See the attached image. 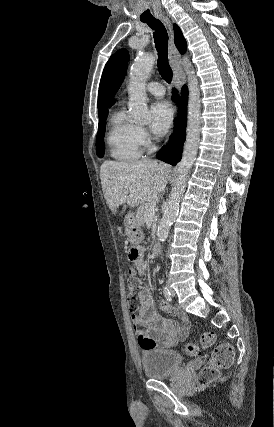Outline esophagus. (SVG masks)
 <instances>
[{
	"mask_svg": "<svg viewBox=\"0 0 274 427\" xmlns=\"http://www.w3.org/2000/svg\"><path fill=\"white\" fill-rule=\"evenodd\" d=\"M169 31V62L173 69V85L180 91L185 83V74L180 67V56L176 49L172 33V24L166 15H160Z\"/></svg>",
	"mask_w": 274,
	"mask_h": 427,
	"instance_id": "1",
	"label": "esophagus"
}]
</instances>
